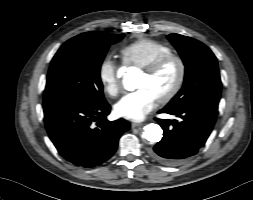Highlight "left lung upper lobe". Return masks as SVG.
Segmentation results:
<instances>
[{
    "label": "left lung upper lobe",
    "instance_id": "5c2ea615",
    "mask_svg": "<svg viewBox=\"0 0 253 200\" xmlns=\"http://www.w3.org/2000/svg\"><path fill=\"white\" fill-rule=\"evenodd\" d=\"M168 39L182 57L185 78L182 89L165 107L177 109L202 102L218 104L222 84L213 52L200 41L187 36L170 34Z\"/></svg>",
    "mask_w": 253,
    "mask_h": 200
}]
</instances>
